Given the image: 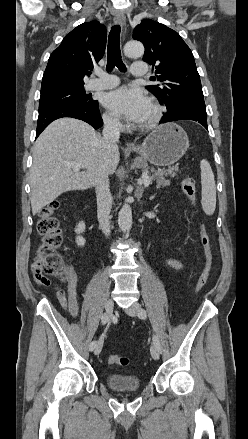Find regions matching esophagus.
<instances>
[{
	"instance_id": "34e87169",
	"label": "esophagus",
	"mask_w": 248,
	"mask_h": 439,
	"mask_svg": "<svg viewBox=\"0 0 248 439\" xmlns=\"http://www.w3.org/2000/svg\"><path fill=\"white\" fill-rule=\"evenodd\" d=\"M114 23L117 24V25H120L122 27L123 33H124L126 18H125L124 14L122 12H116L115 13ZM126 147L131 149V148L134 147V144L131 143V142H127L126 143Z\"/></svg>"
}]
</instances>
